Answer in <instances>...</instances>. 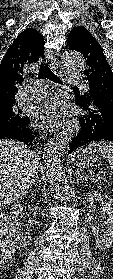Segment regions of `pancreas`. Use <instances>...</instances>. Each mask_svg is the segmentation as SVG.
Returning a JSON list of instances; mask_svg holds the SVG:
<instances>
[{
    "label": "pancreas",
    "mask_w": 113,
    "mask_h": 279,
    "mask_svg": "<svg viewBox=\"0 0 113 279\" xmlns=\"http://www.w3.org/2000/svg\"><path fill=\"white\" fill-rule=\"evenodd\" d=\"M89 179H91L93 182L99 183L101 181V178L95 175L88 176Z\"/></svg>",
    "instance_id": "cf45deb5"
}]
</instances>
